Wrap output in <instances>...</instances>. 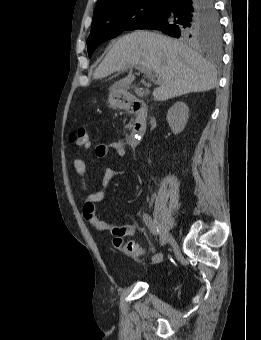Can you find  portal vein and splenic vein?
<instances>
[{
	"label": "portal vein and splenic vein",
	"instance_id": "18ae733b",
	"mask_svg": "<svg viewBox=\"0 0 261 340\" xmlns=\"http://www.w3.org/2000/svg\"><path fill=\"white\" fill-rule=\"evenodd\" d=\"M137 69L143 72L152 82L159 83V81H155V72L150 68L143 66H137Z\"/></svg>",
	"mask_w": 261,
	"mask_h": 340
}]
</instances>
